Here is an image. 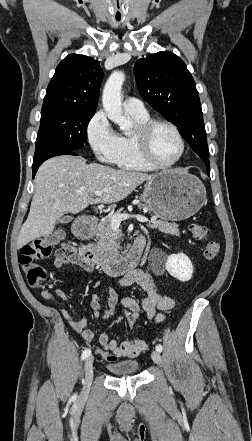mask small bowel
<instances>
[{
    "label": "small bowel",
    "mask_w": 252,
    "mask_h": 441,
    "mask_svg": "<svg viewBox=\"0 0 252 441\" xmlns=\"http://www.w3.org/2000/svg\"><path fill=\"white\" fill-rule=\"evenodd\" d=\"M143 242V238H138L136 243ZM76 264L87 272H92L95 266L88 264L82 260L77 254L76 249L71 245L64 244L55 253L54 265L57 268ZM133 284L138 285L145 293V297L141 302L131 298H119L113 287L107 289L108 298L106 307L110 305L136 306L140 311H144L148 319L153 323H160L164 320V312L171 309L175 302L168 296L161 295L157 292L153 278L147 270H132L127 272L118 281L120 287H128ZM42 296L47 300H53L56 297L67 300L68 294L62 289H56L54 294L50 291H43ZM89 306L95 316H100L103 304L100 295L91 294L89 296ZM61 315L65 318L69 326L78 334H80L85 342H91L94 339V332L88 328L87 320L82 317L75 319L66 309L60 310ZM99 343L103 351H109L113 355L124 358L137 357L141 352L146 350V343L140 339H129L119 344L111 339L107 334L99 336Z\"/></svg>",
    "instance_id": "c3829d8e"
}]
</instances>
